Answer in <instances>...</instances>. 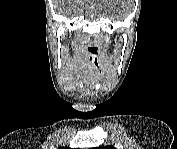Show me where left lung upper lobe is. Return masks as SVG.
Instances as JSON below:
<instances>
[{"instance_id": "left-lung-upper-lobe-1", "label": "left lung upper lobe", "mask_w": 177, "mask_h": 149, "mask_svg": "<svg viewBox=\"0 0 177 149\" xmlns=\"http://www.w3.org/2000/svg\"><path fill=\"white\" fill-rule=\"evenodd\" d=\"M101 148H105V149H114L113 146H106V147H101Z\"/></svg>"}]
</instances>
